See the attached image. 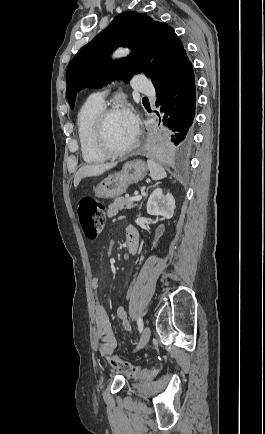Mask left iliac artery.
<instances>
[{
	"label": "left iliac artery",
	"mask_w": 265,
	"mask_h": 434,
	"mask_svg": "<svg viewBox=\"0 0 265 434\" xmlns=\"http://www.w3.org/2000/svg\"><path fill=\"white\" fill-rule=\"evenodd\" d=\"M137 324H138L139 332H142L144 324H143V321L140 317L137 320Z\"/></svg>",
	"instance_id": "44dca946"
}]
</instances>
